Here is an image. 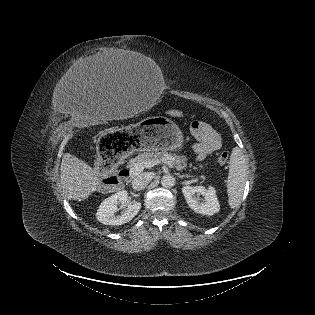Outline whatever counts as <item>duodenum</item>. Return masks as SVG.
<instances>
[{
	"instance_id": "410a0bca",
	"label": "duodenum",
	"mask_w": 315,
	"mask_h": 315,
	"mask_svg": "<svg viewBox=\"0 0 315 315\" xmlns=\"http://www.w3.org/2000/svg\"><path fill=\"white\" fill-rule=\"evenodd\" d=\"M130 175V172L128 169L126 168H122L119 170L118 174H117V179H118V183H122L123 181H125Z\"/></svg>"
}]
</instances>
